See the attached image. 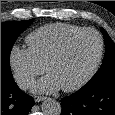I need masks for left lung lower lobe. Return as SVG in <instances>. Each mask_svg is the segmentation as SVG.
<instances>
[{
  "label": "left lung lower lobe",
  "mask_w": 115,
  "mask_h": 115,
  "mask_svg": "<svg viewBox=\"0 0 115 115\" xmlns=\"http://www.w3.org/2000/svg\"><path fill=\"white\" fill-rule=\"evenodd\" d=\"M60 115H115V80L81 88L61 99Z\"/></svg>",
  "instance_id": "1"
}]
</instances>
